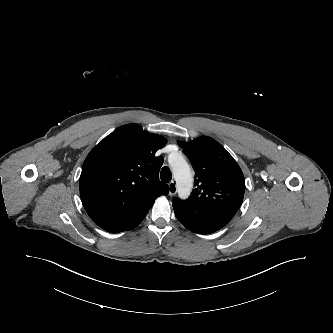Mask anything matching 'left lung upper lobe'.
I'll return each mask as SVG.
<instances>
[{
    "label": "left lung upper lobe",
    "instance_id": "1",
    "mask_svg": "<svg viewBox=\"0 0 333 333\" xmlns=\"http://www.w3.org/2000/svg\"><path fill=\"white\" fill-rule=\"evenodd\" d=\"M196 172L195 189L182 200L202 204L222 199H236L242 203L245 192L244 175L233 157L217 141L200 137L190 142H179ZM179 198H174L176 202Z\"/></svg>",
    "mask_w": 333,
    "mask_h": 333
}]
</instances>
